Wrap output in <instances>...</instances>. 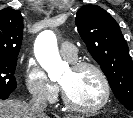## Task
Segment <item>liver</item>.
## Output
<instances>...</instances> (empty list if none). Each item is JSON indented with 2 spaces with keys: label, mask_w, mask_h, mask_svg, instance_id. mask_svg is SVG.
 Wrapping results in <instances>:
<instances>
[{
  "label": "liver",
  "mask_w": 133,
  "mask_h": 118,
  "mask_svg": "<svg viewBox=\"0 0 133 118\" xmlns=\"http://www.w3.org/2000/svg\"><path fill=\"white\" fill-rule=\"evenodd\" d=\"M0 118H32L29 105L17 100H0ZM44 118H47L45 116Z\"/></svg>",
  "instance_id": "obj_1"
}]
</instances>
